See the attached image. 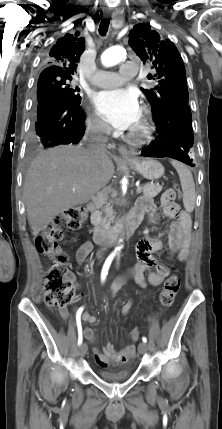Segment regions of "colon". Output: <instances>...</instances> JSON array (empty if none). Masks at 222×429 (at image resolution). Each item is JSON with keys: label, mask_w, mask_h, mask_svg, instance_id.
<instances>
[{"label": "colon", "mask_w": 222, "mask_h": 429, "mask_svg": "<svg viewBox=\"0 0 222 429\" xmlns=\"http://www.w3.org/2000/svg\"><path fill=\"white\" fill-rule=\"evenodd\" d=\"M181 195L178 187L167 189L162 197L165 204L173 203ZM87 212L83 207H74L64 211L61 216L48 225L42 234L35 239L36 248L48 255L53 263L47 269L43 280L44 302L50 307H66L73 295L74 284L72 275L67 268V255L59 247L62 237V226L69 230H77L85 222ZM180 289V279L177 275L169 276L160 292L159 304L162 309L170 307ZM140 331L135 328L130 333L132 341L139 339Z\"/></svg>", "instance_id": "obj_1"}]
</instances>
